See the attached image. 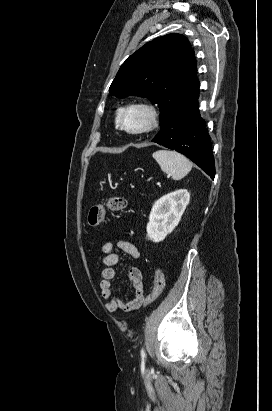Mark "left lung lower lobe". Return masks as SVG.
I'll list each match as a JSON object with an SVG mask.
<instances>
[{
  "instance_id": "left-lung-lower-lobe-1",
  "label": "left lung lower lobe",
  "mask_w": 272,
  "mask_h": 411,
  "mask_svg": "<svg viewBox=\"0 0 272 411\" xmlns=\"http://www.w3.org/2000/svg\"><path fill=\"white\" fill-rule=\"evenodd\" d=\"M199 92L186 101L161 128L152 142L174 149L215 176L211 138L198 110Z\"/></svg>"
}]
</instances>
